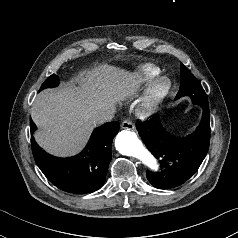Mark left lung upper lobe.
Segmentation results:
<instances>
[{
  "instance_id": "1",
  "label": "left lung upper lobe",
  "mask_w": 238,
  "mask_h": 238,
  "mask_svg": "<svg viewBox=\"0 0 238 238\" xmlns=\"http://www.w3.org/2000/svg\"><path fill=\"white\" fill-rule=\"evenodd\" d=\"M181 67V79H180V89L177 93L175 99H179L184 96H189L192 102H205L208 103L207 95L199 84L198 80L191 74L186 66L182 63Z\"/></svg>"
}]
</instances>
